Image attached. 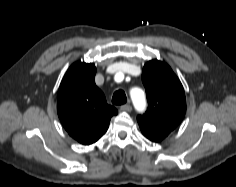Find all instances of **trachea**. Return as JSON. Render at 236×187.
<instances>
[{"mask_svg": "<svg viewBox=\"0 0 236 187\" xmlns=\"http://www.w3.org/2000/svg\"><path fill=\"white\" fill-rule=\"evenodd\" d=\"M127 101V97L124 91L117 90L112 97V103L114 105H122L125 104Z\"/></svg>", "mask_w": 236, "mask_h": 187, "instance_id": "3493384b", "label": "trachea"}]
</instances>
